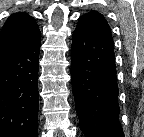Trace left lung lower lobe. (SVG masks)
I'll return each mask as SVG.
<instances>
[{
  "label": "left lung lower lobe",
  "mask_w": 144,
  "mask_h": 137,
  "mask_svg": "<svg viewBox=\"0 0 144 137\" xmlns=\"http://www.w3.org/2000/svg\"><path fill=\"white\" fill-rule=\"evenodd\" d=\"M71 80L85 136L124 137L118 119V85L109 31L78 21L71 47Z\"/></svg>",
  "instance_id": "left-lung-lower-lobe-1"
}]
</instances>
